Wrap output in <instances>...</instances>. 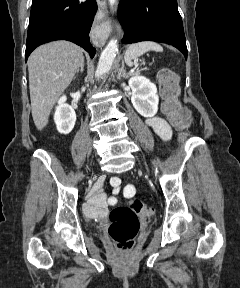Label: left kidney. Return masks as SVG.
<instances>
[{"label":"left kidney","instance_id":"obj_1","mask_svg":"<svg viewBox=\"0 0 240 288\" xmlns=\"http://www.w3.org/2000/svg\"><path fill=\"white\" fill-rule=\"evenodd\" d=\"M128 83L132 89L131 102L136 111L143 117L155 116L159 104L156 85L143 76L131 77Z\"/></svg>","mask_w":240,"mask_h":288}]
</instances>
